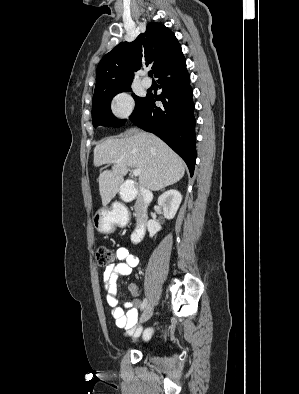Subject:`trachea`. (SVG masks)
<instances>
[{"label":"trachea","instance_id":"trachea-1","mask_svg":"<svg viewBox=\"0 0 299 394\" xmlns=\"http://www.w3.org/2000/svg\"><path fill=\"white\" fill-rule=\"evenodd\" d=\"M148 75H149L150 77H152V76H153V71H149V72H148Z\"/></svg>","mask_w":299,"mask_h":394}]
</instances>
